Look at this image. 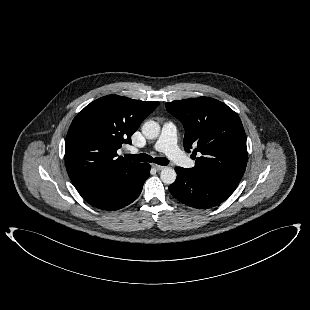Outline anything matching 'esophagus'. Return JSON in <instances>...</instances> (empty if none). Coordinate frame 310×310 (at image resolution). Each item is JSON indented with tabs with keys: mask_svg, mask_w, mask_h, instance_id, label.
Masks as SVG:
<instances>
[{
	"mask_svg": "<svg viewBox=\"0 0 310 310\" xmlns=\"http://www.w3.org/2000/svg\"><path fill=\"white\" fill-rule=\"evenodd\" d=\"M152 167L158 171L163 170L165 168V166H161L158 164H152Z\"/></svg>",
	"mask_w": 310,
	"mask_h": 310,
	"instance_id": "obj_1",
	"label": "esophagus"
}]
</instances>
